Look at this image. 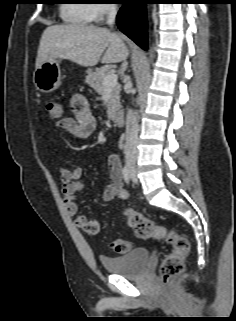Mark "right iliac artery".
Listing matches in <instances>:
<instances>
[{
	"label": "right iliac artery",
	"instance_id": "1",
	"mask_svg": "<svg viewBox=\"0 0 236 321\" xmlns=\"http://www.w3.org/2000/svg\"><path fill=\"white\" fill-rule=\"evenodd\" d=\"M122 175H123V178H124L125 182L127 184H129L131 177H130L129 167L127 165H124V167L122 169Z\"/></svg>",
	"mask_w": 236,
	"mask_h": 321
}]
</instances>
